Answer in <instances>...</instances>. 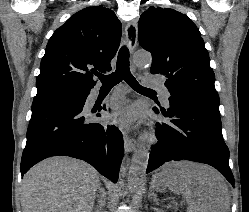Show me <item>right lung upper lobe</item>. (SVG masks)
<instances>
[{
    "instance_id": "cb5924a9",
    "label": "right lung upper lobe",
    "mask_w": 249,
    "mask_h": 212,
    "mask_svg": "<svg viewBox=\"0 0 249 212\" xmlns=\"http://www.w3.org/2000/svg\"><path fill=\"white\" fill-rule=\"evenodd\" d=\"M122 25L103 6L75 13L51 36L36 80L37 95L85 92L96 84L94 71L111 70L110 62L120 44Z\"/></svg>"
}]
</instances>
